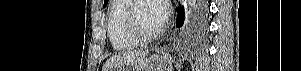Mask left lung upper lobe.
<instances>
[{"label": "left lung upper lobe", "instance_id": "obj_1", "mask_svg": "<svg viewBox=\"0 0 301 71\" xmlns=\"http://www.w3.org/2000/svg\"><path fill=\"white\" fill-rule=\"evenodd\" d=\"M109 0H104V6L108 3ZM189 39H191V34L189 33Z\"/></svg>", "mask_w": 301, "mask_h": 71}]
</instances>
